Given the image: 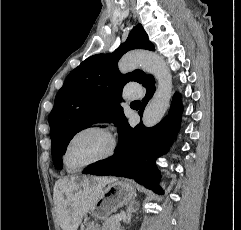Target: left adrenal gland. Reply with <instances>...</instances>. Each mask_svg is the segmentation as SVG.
Returning <instances> with one entry per match:
<instances>
[{"instance_id":"1","label":"left adrenal gland","mask_w":241,"mask_h":230,"mask_svg":"<svg viewBox=\"0 0 241 230\" xmlns=\"http://www.w3.org/2000/svg\"><path fill=\"white\" fill-rule=\"evenodd\" d=\"M135 203H136L135 201H132V202L129 204V206L127 207V210H126V218H125V222H126V223H130L132 213L136 211V209L133 208V205H134Z\"/></svg>"}]
</instances>
